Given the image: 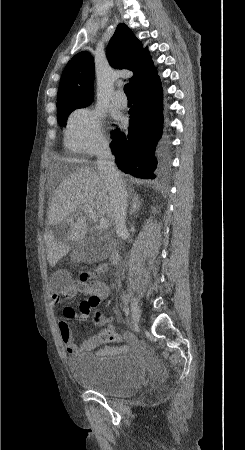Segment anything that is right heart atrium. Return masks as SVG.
Here are the masks:
<instances>
[{"mask_svg": "<svg viewBox=\"0 0 245 450\" xmlns=\"http://www.w3.org/2000/svg\"><path fill=\"white\" fill-rule=\"evenodd\" d=\"M64 143L70 151L80 155L102 151L107 145L102 114L92 107L72 112L67 120Z\"/></svg>", "mask_w": 245, "mask_h": 450, "instance_id": "obj_1", "label": "right heart atrium"}]
</instances>
